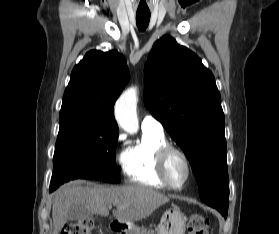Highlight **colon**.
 Segmentation results:
<instances>
[{
  "instance_id": "5ec220e1",
  "label": "colon",
  "mask_w": 279,
  "mask_h": 234,
  "mask_svg": "<svg viewBox=\"0 0 279 234\" xmlns=\"http://www.w3.org/2000/svg\"><path fill=\"white\" fill-rule=\"evenodd\" d=\"M209 219L202 213H194L188 221L189 234H207ZM93 223L90 219H80L65 224L61 234H90Z\"/></svg>"
}]
</instances>
